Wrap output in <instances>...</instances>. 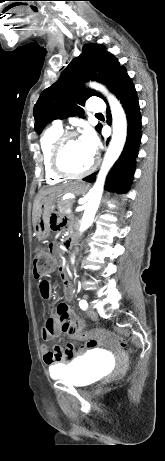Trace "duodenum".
<instances>
[{
  "label": "duodenum",
  "mask_w": 165,
  "mask_h": 461,
  "mask_svg": "<svg viewBox=\"0 0 165 461\" xmlns=\"http://www.w3.org/2000/svg\"><path fill=\"white\" fill-rule=\"evenodd\" d=\"M74 240V235L73 233L70 231L68 234H67V237H66V243L67 244H70L72 243Z\"/></svg>",
  "instance_id": "410a0bca"
}]
</instances>
